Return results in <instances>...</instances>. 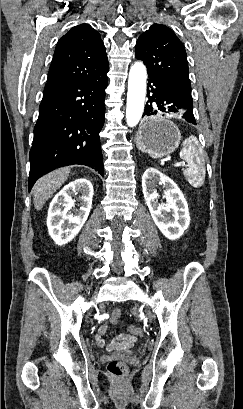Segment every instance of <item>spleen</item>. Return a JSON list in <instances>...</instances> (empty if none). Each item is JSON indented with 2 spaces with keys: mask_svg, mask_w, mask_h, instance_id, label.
<instances>
[{
  "mask_svg": "<svg viewBox=\"0 0 243 409\" xmlns=\"http://www.w3.org/2000/svg\"><path fill=\"white\" fill-rule=\"evenodd\" d=\"M180 157L188 164V167L183 169L186 180L191 186L200 188L205 180L206 169L201 147L195 136L191 135L183 142Z\"/></svg>",
  "mask_w": 243,
  "mask_h": 409,
  "instance_id": "3e777b00",
  "label": "spleen"
}]
</instances>
